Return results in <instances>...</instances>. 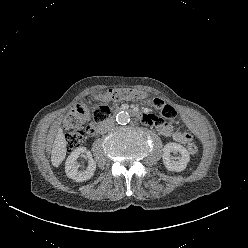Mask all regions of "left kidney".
<instances>
[{
  "mask_svg": "<svg viewBox=\"0 0 248 248\" xmlns=\"http://www.w3.org/2000/svg\"><path fill=\"white\" fill-rule=\"evenodd\" d=\"M171 153L178 154L179 157L174 158ZM163 163L169 171L180 172L183 171L187 163L190 161L189 152L180 144L171 142L167 143L163 148Z\"/></svg>",
  "mask_w": 248,
  "mask_h": 248,
  "instance_id": "left-kidney-1",
  "label": "left kidney"
}]
</instances>
